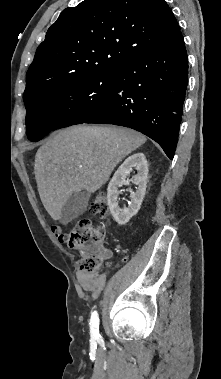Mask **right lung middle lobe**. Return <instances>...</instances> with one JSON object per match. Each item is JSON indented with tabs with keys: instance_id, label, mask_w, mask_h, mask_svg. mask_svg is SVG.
Returning a JSON list of instances; mask_svg holds the SVG:
<instances>
[{
	"instance_id": "1",
	"label": "right lung middle lobe",
	"mask_w": 221,
	"mask_h": 379,
	"mask_svg": "<svg viewBox=\"0 0 221 379\" xmlns=\"http://www.w3.org/2000/svg\"><path fill=\"white\" fill-rule=\"evenodd\" d=\"M118 69L83 75L42 92L25 103L28 139L39 141L50 131L87 119L110 99Z\"/></svg>"
}]
</instances>
